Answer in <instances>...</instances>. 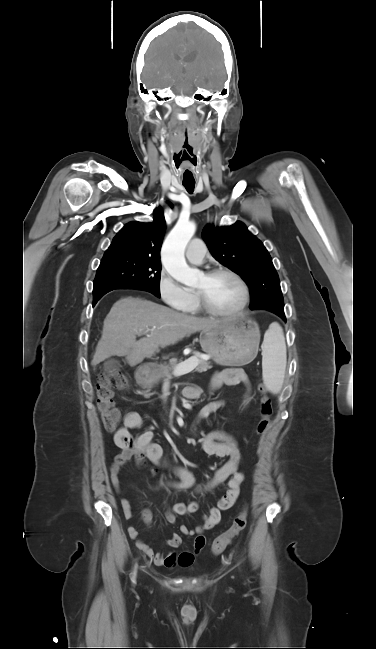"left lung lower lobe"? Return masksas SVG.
Listing matches in <instances>:
<instances>
[{"mask_svg":"<svg viewBox=\"0 0 376 649\" xmlns=\"http://www.w3.org/2000/svg\"><path fill=\"white\" fill-rule=\"evenodd\" d=\"M282 319H284V320H285V316H284V317H282Z\"/></svg>","mask_w":376,"mask_h":649,"instance_id":"0a47b994","label":"left lung lower lobe"}]
</instances>
